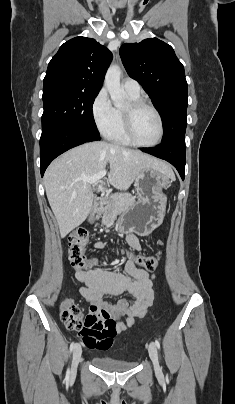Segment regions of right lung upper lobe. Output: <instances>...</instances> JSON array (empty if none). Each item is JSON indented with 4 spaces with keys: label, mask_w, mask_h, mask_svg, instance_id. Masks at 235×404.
Returning <instances> with one entry per match:
<instances>
[{
    "label": "right lung upper lobe",
    "mask_w": 235,
    "mask_h": 404,
    "mask_svg": "<svg viewBox=\"0 0 235 404\" xmlns=\"http://www.w3.org/2000/svg\"><path fill=\"white\" fill-rule=\"evenodd\" d=\"M111 60V52L96 40L73 38L65 42L49 62L43 86L63 85L98 93Z\"/></svg>",
    "instance_id": "1"
}]
</instances>
